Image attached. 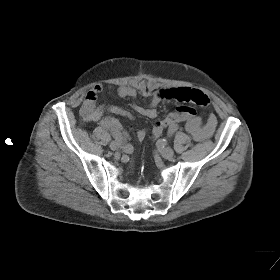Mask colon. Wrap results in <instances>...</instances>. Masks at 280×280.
Returning <instances> with one entry per match:
<instances>
[{
	"label": "colon",
	"instance_id": "5ec220e1",
	"mask_svg": "<svg viewBox=\"0 0 280 280\" xmlns=\"http://www.w3.org/2000/svg\"><path fill=\"white\" fill-rule=\"evenodd\" d=\"M195 115V110L188 105H181L169 113L164 119L157 121L152 129L151 137L156 139L160 137L163 131L173 123L183 122Z\"/></svg>",
	"mask_w": 280,
	"mask_h": 280
}]
</instances>
